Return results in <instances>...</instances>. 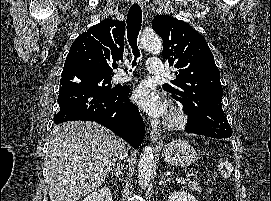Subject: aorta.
<instances>
[{
    "label": "aorta",
    "mask_w": 271,
    "mask_h": 201,
    "mask_svg": "<svg viewBox=\"0 0 271 201\" xmlns=\"http://www.w3.org/2000/svg\"><path fill=\"white\" fill-rule=\"evenodd\" d=\"M140 46L152 52H160L162 49L161 38L154 32L143 33L140 37ZM154 169V152L151 146H146L140 155L138 164V180L141 187L148 186Z\"/></svg>",
    "instance_id": "762f6f07"
}]
</instances>
